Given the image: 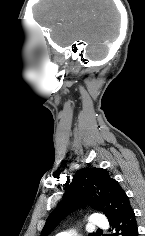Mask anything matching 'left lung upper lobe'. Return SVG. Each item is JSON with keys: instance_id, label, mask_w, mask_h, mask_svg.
Instances as JSON below:
<instances>
[{"instance_id": "5c2ea615", "label": "left lung upper lobe", "mask_w": 145, "mask_h": 236, "mask_svg": "<svg viewBox=\"0 0 145 236\" xmlns=\"http://www.w3.org/2000/svg\"><path fill=\"white\" fill-rule=\"evenodd\" d=\"M89 204L106 214L109 222L130 208L129 198L119 183L103 168H82L68 185L66 195L47 218L41 236L48 234L76 207ZM89 236H96L95 233Z\"/></svg>"}]
</instances>
